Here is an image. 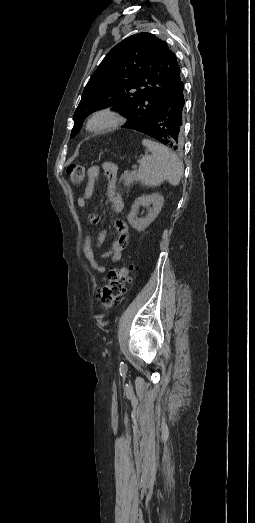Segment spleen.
Listing matches in <instances>:
<instances>
[{
    "mask_svg": "<svg viewBox=\"0 0 255 523\" xmlns=\"http://www.w3.org/2000/svg\"><path fill=\"white\" fill-rule=\"evenodd\" d=\"M151 156H143L140 160L138 178L142 186H160L163 180H168L172 186H178L184 172L183 164L174 152L167 146L142 140Z\"/></svg>",
    "mask_w": 255,
    "mask_h": 523,
    "instance_id": "spleen-1",
    "label": "spleen"
}]
</instances>
